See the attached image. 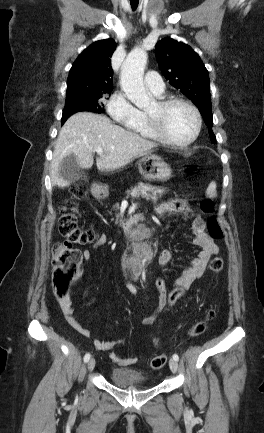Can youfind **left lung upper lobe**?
<instances>
[{
  "label": "left lung upper lobe",
  "mask_w": 264,
  "mask_h": 433,
  "mask_svg": "<svg viewBox=\"0 0 264 433\" xmlns=\"http://www.w3.org/2000/svg\"><path fill=\"white\" fill-rule=\"evenodd\" d=\"M156 55L164 77L198 107L214 143L210 81L200 57L188 45L171 38L157 42Z\"/></svg>",
  "instance_id": "1"
}]
</instances>
